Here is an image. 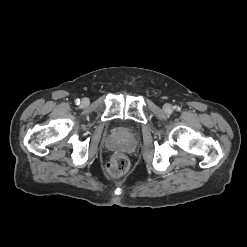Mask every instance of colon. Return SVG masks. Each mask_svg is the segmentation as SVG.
<instances>
[{"mask_svg": "<svg viewBox=\"0 0 247 247\" xmlns=\"http://www.w3.org/2000/svg\"><path fill=\"white\" fill-rule=\"evenodd\" d=\"M127 169L128 160L120 153L113 154L105 166L106 172L112 177L122 176L127 171Z\"/></svg>", "mask_w": 247, "mask_h": 247, "instance_id": "5ec220e1", "label": "colon"}]
</instances>
